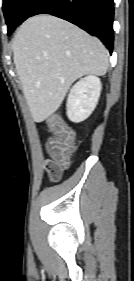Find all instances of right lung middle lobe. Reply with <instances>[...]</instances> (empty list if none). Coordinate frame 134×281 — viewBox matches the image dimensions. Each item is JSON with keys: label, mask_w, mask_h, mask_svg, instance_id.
Returning <instances> with one entry per match:
<instances>
[{"label": "right lung middle lobe", "mask_w": 134, "mask_h": 281, "mask_svg": "<svg viewBox=\"0 0 134 281\" xmlns=\"http://www.w3.org/2000/svg\"><path fill=\"white\" fill-rule=\"evenodd\" d=\"M30 0H3V12L8 25V35L21 24L24 10Z\"/></svg>", "instance_id": "right-lung-middle-lobe-1"}]
</instances>
